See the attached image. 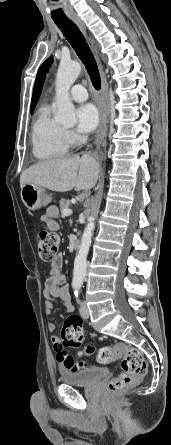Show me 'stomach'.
Masks as SVG:
<instances>
[{
	"label": "stomach",
	"mask_w": 171,
	"mask_h": 445,
	"mask_svg": "<svg viewBox=\"0 0 171 445\" xmlns=\"http://www.w3.org/2000/svg\"><path fill=\"white\" fill-rule=\"evenodd\" d=\"M21 199L28 210L35 211L48 205L52 197L47 194L45 188L27 183L21 188Z\"/></svg>",
	"instance_id": "obj_1"
}]
</instances>
